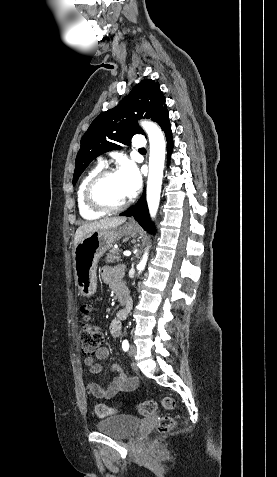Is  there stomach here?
Returning <instances> with one entry per match:
<instances>
[{
	"mask_svg": "<svg viewBox=\"0 0 277 477\" xmlns=\"http://www.w3.org/2000/svg\"><path fill=\"white\" fill-rule=\"evenodd\" d=\"M139 227L127 223L119 229H99L81 238L74 249L75 284L78 292L85 298H90L97 287L96 268L100 257L121 236H137Z\"/></svg>",
	"mask_w": 277,
	"mask_h": 477,
	"instance_id": "0dacf381",
	"label": "stomach"
}]
</instances>
